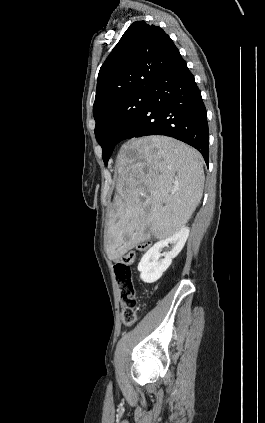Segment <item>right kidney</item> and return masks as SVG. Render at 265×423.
I'll use <instances>...</instances> for the list:
<instances>
[{
    "mask_svg": "<svg viewBox=\"0 0 265 423\" xmlns=\"http://www.w3.org/2000/svg\"><path fill=\"white\" fill-rule=\"evenodd\" d=\"M189 236V228L183 227L172 236L154 244L142 257L138 264V271L144 283L156 282L168 269L174 259L183 249ZM172 245L171 251L164 255V259L159 260L164 247Z\"/></svg>",
    "mask_w": 265,
    "mask_h": 423,
    "instance_id": "1",
    "label": "right kidney"
}]
</instances>
